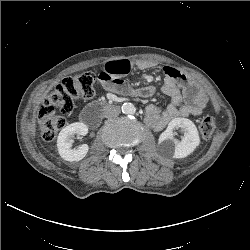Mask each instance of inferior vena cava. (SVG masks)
<instances>
[{"label": "inferior vena cava", "mask_w": 250, "mask_h": 250, "mask_svg": "<svg viewBox=\"0 0 250 250\" xmlns=\"http://www.w3.org/2000/svg\"><path fill=\"white\" fill-rule=\"evenodd\" d=\"M120 113V109L118 107H109L106 109L104 116L106 118L117 117Z\"/></svg>", "instance_id": "obj_1"}]
</instances>
